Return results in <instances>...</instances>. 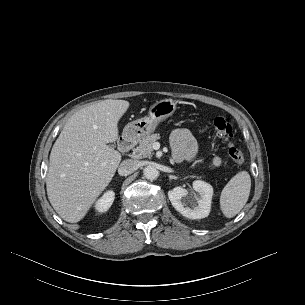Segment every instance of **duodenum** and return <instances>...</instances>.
Returning <instances> with one entry per match:
<instances>
[{"instance_id": "1", "label": "duodenum", "mask_w": 305, "mask_h": 305, "mask_svg": "<svg viewBox=\"0 0 305 305\" xmlns=\"http://www.w3.org/2000/svg\"><path fill=\"white\" fill-rule=\"evenodd\" d=\"M135 143V137L133 135L123 136L118 143V148L121 152H128Z\"/></svg>"}]
</instances>
